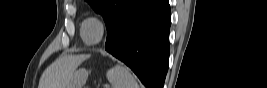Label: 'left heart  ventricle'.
Masks as SVG:
<instances>
[{
  "mask_svg": "<svg viewBox=\"0 0 267 88\" xmlns=\"http://www.w3.org/2000/svg\"><path fill=\"white\" fill-rule=\"evenodd\" d=\"M85 35L88 41H95L100 35L99 26L95 22H89L85 28Z\"/></svg>",
  "mask_w": 267,
  "mask_h": 88,
  "instance_id": "obj_1",
  "label": "left heart ventricle"
}]
</instances>
